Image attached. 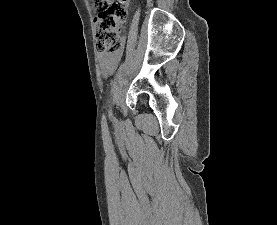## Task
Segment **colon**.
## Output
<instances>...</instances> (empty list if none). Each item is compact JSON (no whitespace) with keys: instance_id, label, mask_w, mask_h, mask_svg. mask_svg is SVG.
Listing matches in <instances>:
<instances>
[{"instance_id":"colon-1","label":"colon","mask_w":277,"mask_h":225,"mask_svg":"<svg viewBox=\"0 0 277 225\" xmlns=\"http://www.w3.org/2000/svg\"><path fill=\"white\" fill-rule=\"evenodd\" d=\"M127 0H91L98 12L95 19L96 46L103 55H114L121 51L123 39L121 28L127 20Z\"/></svg>"}]
</instances>
